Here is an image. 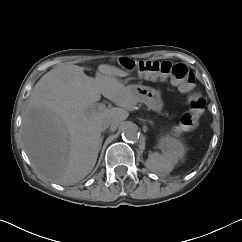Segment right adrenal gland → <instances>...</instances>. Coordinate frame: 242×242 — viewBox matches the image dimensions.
Listing matches in <instances>:
<instances>
[{
    "instance_id": "2a0ac1e0",
    "label": "right adrenal gland",
    "mask_w": 242,
    "mask_h": 242,
    "mask_svg": "<svg viewBox=\"0 0 242 242\" xmlns=\"http://www.w3.org/2000/svg\"><path fill=\"white\" fill-rule=\"evenodd\" d=\"M102 141H103V136L100 139V146L102 145ZM101 148V147H100Z\"/></svg>"
}]
</instances>
